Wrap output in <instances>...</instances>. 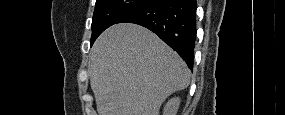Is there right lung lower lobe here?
Wrapping results in <instances>:
<instances>
[{
	"label": "right lung lower lobe",
	"mask_w": 285,
	"mask_h": 115,
	"mask_svg": "<svg viewBox=\"0 0 285 115\" xmlns=\"http://www.w3.org/2000/svg\"><path fill=\"white\" fill-rule=\"evenodd\" d=\"M196 0H150L116 23H135L156 33L193 69Z\"/></svg>",
	"instance_id": "1"
}]
</instances>
